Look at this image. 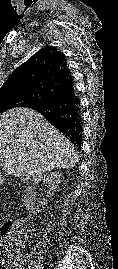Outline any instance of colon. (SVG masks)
<instances>
[{"label":"colon","mask_w":118,"mask_h":269,"mask_svg":"<svg viewBox=\"0 0 118 269\" xmlns=\"http://www.w3.org/2000/svg\"><path fill=\"white\" fill-rule=\"evenodd\" d=\"M1 185V180H0ZM22 231V224L8 221L2 225L0 236V268H10L15 263L16 247Z\"/></svg>","instance_id":"obj_1"}]
</instances>
